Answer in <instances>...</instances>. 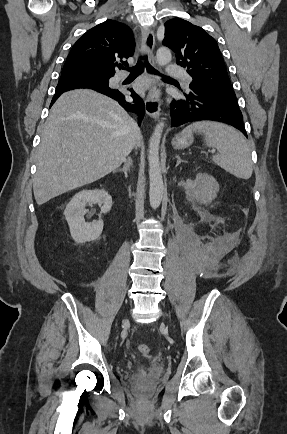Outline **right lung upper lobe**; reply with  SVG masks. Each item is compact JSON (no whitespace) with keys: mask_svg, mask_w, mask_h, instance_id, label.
Wrapping results in <instances>:
<instances>
[{"mask_svg":"<svg viewBox=\"0 0 287 434\" xmlns=\"http://www.w3.org/2000/svg\"><path fill=\"white\" fill-rule=\"evenodd\" d=\"M135 41L132 31L115 20H107L88 30L72 47L62 73L85 72L112 77L117 61L132 56ZM127 65L126 62H122ZM120 67H123L119 64ZM63 84H89L59 80Z\"/></svg>","mask_w":287,"mask_h":434,"instance_id":"obj_1","label":"right lung upper lobe"}]
</instances>
